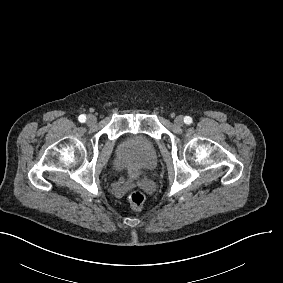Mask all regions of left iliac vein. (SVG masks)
<instances>
[{"label": "left iliac vein", "instance_id": "4c4485c4", "mask_svg": "<svg viewBox=\"0 0 283 283\" xmlns=\"http://www.w3.org/2000/svg\"><path fill=\"white\" fill-rule=\"evenodd\" d=\"M183 124H184L183 116H181V115L177 116L174 120V125L177 126V127H181V126H183Z\"/></svg>", "mask_w": 283, "mask_h": 283}]
</instances>
